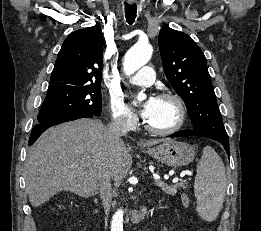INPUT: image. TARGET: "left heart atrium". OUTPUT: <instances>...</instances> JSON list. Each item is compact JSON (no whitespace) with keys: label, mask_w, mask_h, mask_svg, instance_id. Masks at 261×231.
I'll return each mask as SVG.
<instances>
[{"label":"left heart atrium","mask_w":261,"mask_h":231,"mask_svg":"<svg viewBox=\"0 0 261 231\" xmlns=\"http://www.w3.org/2000/svg\"><path fill=\"white\" fill-rule=\"evenodd\" d=\"M155 101H156V98H155V97H149V98L144 102V104L142 105V107H141V114H142V116H143L144 118H146V117L149 115V113H150V111H151L153 105L155 104Z\"/></svg>","instance_id":"1"}]
</instances>
